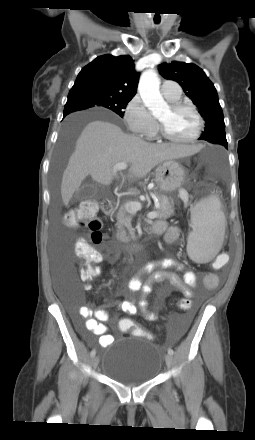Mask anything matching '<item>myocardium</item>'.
Here are the masks:
<instances>
[{"mask_svg": "<svg viewBox=\"0 0 255 440\" xmlns=\"http://www.w3.org/2000/svg\"><path fill=\"white\" fill-rule=\"evenodd\" d=\"M170 108L172 111H178L181 109L190 110L195 115L197 122H198V126L196 129V132L190 138L177 139V138H174L172 135H170V133L166 130L163 123H161L159 121V128H160V132H161L162 137L167 141H170L173 143H178V144H189V143L195 142L201 136L203 128H204V120H203V117L201 116V114L198 112V110L193 105L188 104V103H184V102H180V101L172 103L170 105Z\"/></svg>", "mask_w": 255, "mask_h": 440, "instance_id": "obj_1", "label": "myocardium"}]
</instances>
